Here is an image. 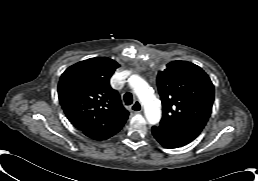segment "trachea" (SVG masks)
<instances>
[{"label": "trachea", "instance_id": "3493384b", "mask_svg": "<svg viewBox=\"0 0 258 181\" xmlns=\"http://www.w3.org/2000/svg\"><path fill=\"white\" fill-rule=\"evenodd\" d=\"M124 102L126 105H131L133 103V97L131 93L124 94Z\"/></svg>", "mask_w": 258, "mask_h": 181}]
</instances>
